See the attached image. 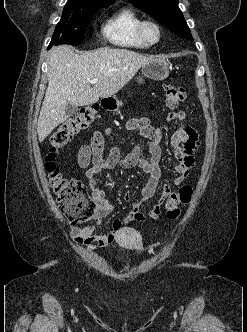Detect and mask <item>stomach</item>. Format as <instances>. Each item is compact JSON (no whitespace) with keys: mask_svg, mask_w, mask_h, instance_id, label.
Listing matches in <instances>:
<instances>
[{"mask_svg":"<svg viewBox=\"0 0 247 332\" xmlns=\"http://www.w3.org/2000/svg\"><path fill=\"white\" fill-rule=\"evenodd\" d=\"M142 74L144 77L151 78L154 80H164L169 75V64L168 61L162 58H155L150 60L146 65L142 67ZM137 81L142 82V78L138 77ZM120 102L116 98H112L110 102V109H114L119 106Z\"/></svg>","mask_w":247,"mask_h":332,"instance_id":"0dacf381","label":"stomach"}]
</instances>
